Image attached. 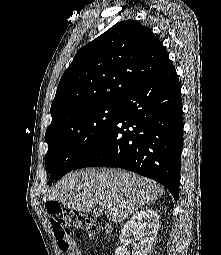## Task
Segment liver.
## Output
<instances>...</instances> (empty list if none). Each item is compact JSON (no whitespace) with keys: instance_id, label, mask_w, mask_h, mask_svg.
Segmentation results:
<instances>
[{"instance_id":"obj_1","label":"liver","mask_w":221,"mask_h":255,"mask_svg":"<svg viewBox=\"0 0 221 255\" xmlns=\"http://www.w3.org/2000/svg\"><path fill=\"white\" fill-rule=\"evenodd\" d=\"M164 193L153 180L122 169L90 168L70 172L43 197L77 212H89L97 204L113 222H123Z\"/></svg>"}]
</instances>
